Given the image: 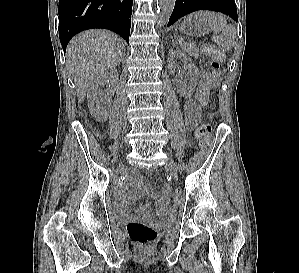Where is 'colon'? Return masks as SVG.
Listing matches in <instances>:
<instances>
[{"label":"colon","instance_id":"obj_1","mask_svg":"<svg viewBox=\"0 0 299 273\" xmlns=\"http://www.w3.org/2000/svg\"><path fill=\"white\" fill-rule=\"evenodd\" d=\"M217 68L218 63L210 61L207 65V71L200 80L197 90V97L200 105L205 104L209 98L212 80L215 78ZM195 135L199 139L202 148L208 147L211 143V126L208 123L201 124L197 128ZM182 201V191H175L173 194L174 204H180ZM126 231L129 238L134 243L141 246H150L158 237V231L153 226L139 221L129 222L126 226Z\"/></svg>","mask_w":299,"mask_h":273}]
</instances>
